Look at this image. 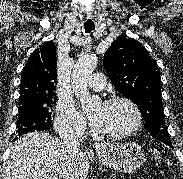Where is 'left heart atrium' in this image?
Wrapping results in <instances>:
<instances>
[{
	"label": "left heart atrium",
	"instance_id": "left-heart-atrium-1",
	"mask_svg": "<svg viewBox=\"0 0 183 179\" xmlns=\"http://www.w3.org/2000/svg\"><path fill=\"white\" fill-rule=\"evenodd\" d=\"M91 124H92V126L94 128L100 129L101 124H102V117H101V115L99 113L98 114H94L91 117Z\"/></svg>",
	"mask_w": 183,
	"mask_h": 179
}]
</instances>
